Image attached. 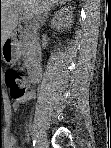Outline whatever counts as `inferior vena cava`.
<instances>
[{"mask_svg": "<svg viewBox=\"0 0 111 148\" xmlns=\"http://www.w3.org/2000/svg\"><path fill=\"white\" fill-rule=\"evenodd\" d=\"M45 9H48V6H46L45 7ZM40 11L35 15V16H39L40 15ZM34 48H38V46H39V44H38V36H37V34H35V36H34Z\"/></svg>", "mask_w": 111, "mask_h": 148, "instance_id": "inferior-vena-cava-1", "label": "inferior vena cava"}]
</instances>
